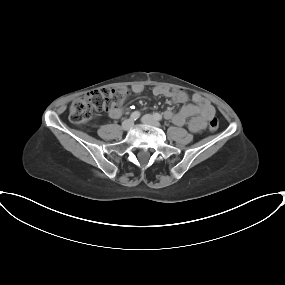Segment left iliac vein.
<instances>
[{"mask_svg":"<svg viewBox=\"0 0 285 285\" xmlns=\"http://www.w3.org/2000/svg\"><path fill=\"white\" fill-rule=\"evenodd\" d=\"M141 121L144 124H147V125H150V126H153V127H159L160 126V123L153 116H151L149 114L144 115L141 118Z\"/></svg>","mask_w":285,"mask_h":285,"instance_id":"obj_1","label":"left iliac vein"}]
</instances>
